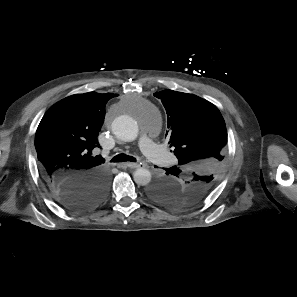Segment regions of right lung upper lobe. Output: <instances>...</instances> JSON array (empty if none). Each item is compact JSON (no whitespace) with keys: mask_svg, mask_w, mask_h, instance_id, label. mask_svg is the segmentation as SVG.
<instances>
[{"mask_svg":"<svg viewBox=\"0 0 297 297\" xmlns=\"http://www.w3.org/2000/svg\"><path fill=\"white\" fill-rule=\"evenodd\" d=\"M113 93L89 92L69 96L43 116L35 135L41 173L49 188L103 171L104 159L93 157L99 147L98 132L104 122L105 105Z\"/></svg>","mask_w":297,"mask_h":297,"instance_id":"1","label":"right lung upper lobe"}]
</instances>
